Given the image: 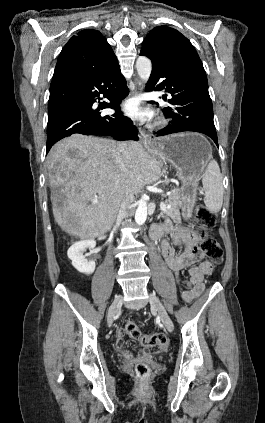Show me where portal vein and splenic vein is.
Wrapping results in <instances>:
<instances>
[{"label": "portal vein and splenic vein", "mask_w": 265, "mask_h": 423, "mask_svg": "<svg viewBox=\"0 0 265 423\" xmlns=\"http://www.w3.org/2000/svg\"><path fill=\"white\" fill-rule=\"evenodd\" d=\"M93 204H97L98 203V200L97 199H93L92 201H91ZM167 208H169V206H167L163 201H161L160 202V209L162 210V211H166V209Z\"/></svg>", "instance_id": "obj_1"}]
</instances>
